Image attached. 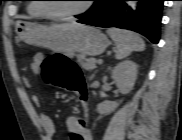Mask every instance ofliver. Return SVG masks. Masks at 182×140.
<instances>
[{"instance_id": "6515ba94", "label": "liver", "mask_w": 182, "mask_h": 140, "mask_svg": "<svg viewBox=\"0 0 182 140\" xmlns=\"http://www.w3.org/2000/svg\"><path fill=\"white\" fill-rule=\"evenodd\" d=\"M78 26H81V24L72 22V23H66L61 25H52L50 28H72V27H78Z\"/></svg>"}]
</instances>
